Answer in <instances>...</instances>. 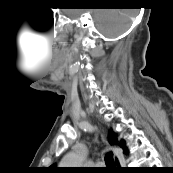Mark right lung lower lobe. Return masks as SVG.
I'll list each match as a JSON object with an SVG mask.
<instances>
[{"label":"right lung lower lobe","mask_w":173,"mask_h":173,"mask_svg":"<svg viewBox=\"0 0 173 173\" xmlns=\"http://www.w3.org/2000/svg\"><path fill=\"white\" fill-rule=\"evenodd\" d=\"M118 173H139V170L136 169H130V168H119L117 170Z\"/></svg>","instance_id":"obj_1"}]
</instances>
